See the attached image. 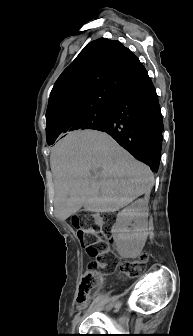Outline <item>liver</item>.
<instances>
[{"label":"liver","instance_id":"obj_1","mask_svg":"<svg viewBox=\"0 0 193 336\" xmlns=\"http://www.w3.org/2000/svg\"><path fill=\"white\" fill-rule=\"evenodd\" d=\"M55 215L66 220L81 207L115 212L137 197L149 196L150 168L136 160L111 136L96 130L73 132L51 151Z\"/></svg>","mask_w":193,"mask_h":336}]
</instances>
